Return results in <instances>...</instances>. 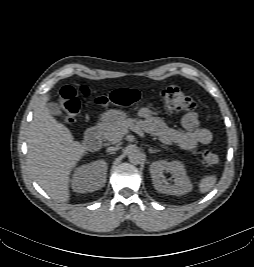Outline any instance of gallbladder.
Here are the masks:
<instances>
[{
    "instance_id": "bac80fb5",
    "label": "gallbladder",
    "mask_w": 254,
    "mask_h": 267,
    "mask_svg": "<svg viewBox=\"0 0 254 267\" xmlns=\"http://www.w3.org/2000/svg\"><path fill=\"white\" fill-rule=\"evenodd\" d=\"M47 108L52 115L59 116L62 114L61 108L57 103H48Z\"/></svg>"
}]
</instances>
